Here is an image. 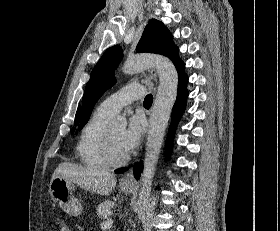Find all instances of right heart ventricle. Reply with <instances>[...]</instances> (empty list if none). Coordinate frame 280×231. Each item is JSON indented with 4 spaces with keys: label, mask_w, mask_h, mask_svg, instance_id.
<instances>
[{
    "label": "right heart ventricle",
    "mask_w": 280,
    "mask_h": 231,
    "mask_svg": "<svg viewBox=\"0 0 280 231\" xmlns=\"http://www.w3.org/2000/svg\"><path fill=\"white\" fill-rule=\"evenodd\" d=\"M112 115L95 111L83 126L75 145L80 164L89 169H106L109 164L102 151V138Z\"/></svg>",
    "instance_id": "1"
}]
</instances>
